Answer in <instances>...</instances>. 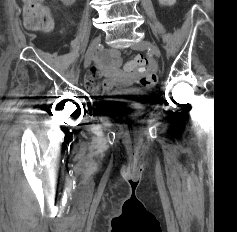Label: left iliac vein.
<instances>
[{"instance_id":"4c4485c4","label":"left iliac vein","mask_w":237,"mask_h":232,"mask_svg":"<svg viewBox=\"0 0 237 232\" xmlns=\"http://www.w3.org/2000/svg\"><path fill=\"white\" fill-rule=\"evenodd\" d=\"M132 49H135V50L149 49L150 52L157 58H159L161 55L159 48L155 44L149 41H140L138 43H135L134 45H132Z\"/></svg>"}]
</instances>
